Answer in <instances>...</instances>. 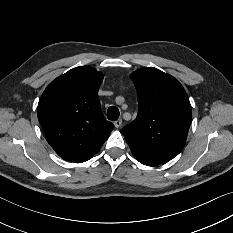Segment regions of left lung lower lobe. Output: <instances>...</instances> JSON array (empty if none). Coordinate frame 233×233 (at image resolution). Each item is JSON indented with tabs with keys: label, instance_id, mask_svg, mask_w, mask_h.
<instances>
[{
	"label": "left lung lower lobe",
	"instance_id": "left-lung-lower-lobe-1",
	"mask_svg": "<svg viewBox=\"0 0 233 233\" xmlns=\"http://www.w3.org/2000/svg\"><path fill=\"white\" fill-rule=\"evenodd\" d=\"M134 157L142 164L148 165V166H157L158 164H164L168 162V159H165L163 157H160L158 155H154L152 153H149L147 151H144L140 149L139 147L135 145L128 144Z\"/></svg>",
	"mask_w": 233,
	"mask_h": 233
}]
</instances>
